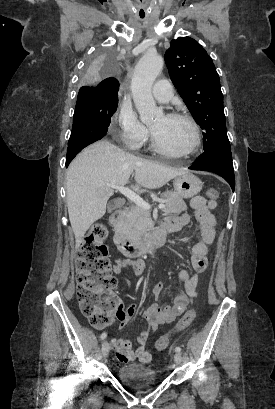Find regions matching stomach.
Segmentation results:
<instances>
[{"label": "stomach", "instance_id": "obj_1", "mask_svg": "<svg viewBox=\"0 0 275 409\" xmlns=\"http://www.w3.org/2000/svg\"><path fill=\"white\" fill-rule=\"evenodd\" d=\"M174 188L182 198H191V196H195V194L200 192L202 182L192 172H186V174H181V176L174 178Z\"/></svg>", "mask_w": 275, "mask_h": 409}]
</instances>
